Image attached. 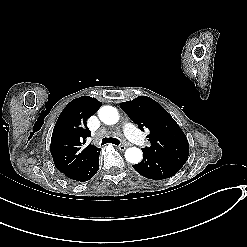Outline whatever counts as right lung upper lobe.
Returning <instances> with one entry per match:
<instances>
[{"label":"right lung upper lobe","mask_w":247,"mask_h":247,"mask_svg":"<svg viewBox=\"0 0 247 247\" xmlns=\"http://www.w3.org/2000/svg\"><path fill=\"white\" fill-rule=\"evenodd\" d=\"M101 104L95 98L82 96L68 103L58 117L51 137L50 151L56 168L65 176L77 171L100 151L94 145L84 144L90 136L86 121Z\"/></svg>","instance_id":"1"}]
</instances>
